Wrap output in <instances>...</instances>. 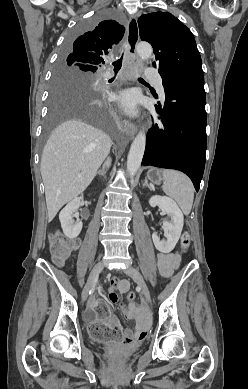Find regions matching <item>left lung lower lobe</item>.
Wrapping results in <instances>:
<instances>
[{
  "mask_svg": "<svg viewBox=\"0 0 248 389\" xmlns=\"http://www.w3.org/2000/svg\"><path fill=\"white\" fill-rule=\"evenodd\" d=\"M163 86L164 108L155 106L160 124L147 135L141 164L182 171L198 191L206 154L204 75H183Z\"/></svg>",
  "mask_w": 248,
  "mask_h": 389,
  "instance_id": "0a47b994",
  "label": "left lung lower lobe"
}]
</instances>
